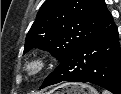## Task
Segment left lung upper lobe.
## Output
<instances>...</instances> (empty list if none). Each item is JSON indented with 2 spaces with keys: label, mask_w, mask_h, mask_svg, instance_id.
Wrapping results in <instances>:
<instances>
[{
  "label": "left lung upper lobe",
  "mask_w": 121,
  "mask_h": 94,
  "mask_svg": "<svg viewBox=\"0 0 121 94\" xmlns=\"http://www.w3.org/2000/svg\"><path fill=\"white\" fill-rule=\"evenodd\" d=\"M113 22L104 0H46L25 41L49 51L60 62Z\"/></svg>",
  "instance_id": "left-lung-upper-lobe-1"
}]
</instances>
